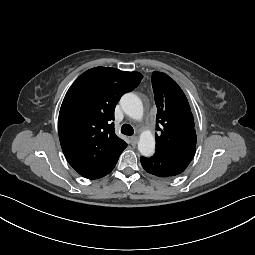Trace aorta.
Listing matches in <instances>:
<instances>
[{
  "label": "aorta",
  "mask_w": 255,
  "mask_h": 255,
  "mask_svg": "<svg viewBox=\"0 0 255 255\" xmlns=\"http://www.w3.org/2000/svg\"><path fill=\"white\" fill-rule=\"evenodd\" d=\"M120 105L129 117L140 120L143 117V105L139 97L133 93H126L120 99ZM139 152L150 157L155 151V138L150 131H144L138 142Z\"/></svg>",
  "instance_id": "762f6f07"
}]
</instances>
